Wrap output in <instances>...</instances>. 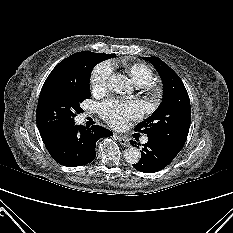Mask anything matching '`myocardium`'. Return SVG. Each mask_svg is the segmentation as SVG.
I'll return each mask as SVG.
<instances>
[{"instance_id": "obj_1", "label": "myocardium", "mask_w": 233, "mask_h": 233, "mask_svg": "<svg viewBox=\"0 0 233 233\" xmlns=\"http://www.w3.org/2000/svg\"><path fill=\"white\" fill-rule=\"evenodd\" d=\"M146 91L151 99H156L160 95V88L156 84H148L146 86Z\"/></svg>"}]
</instances>
